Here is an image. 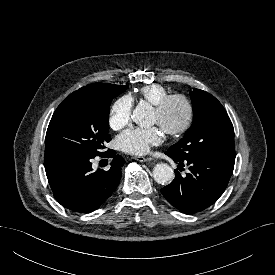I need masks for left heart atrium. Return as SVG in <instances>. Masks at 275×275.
I'll return each instance as SVG.
<instances>
[{"label":"left heart atrium","instance_id":"left-heart-atrium-1","mask_svg":"<svg viewBox=\"0 0 275 275\" xmlns=\"http://www.w3.org/2000/svg\"><path fill=\"white\" fill-rule=\"evenodd\" d=\"M162 140V133L158 127L132 128L118 137L120 148L135 155L146 154L151 146L158 145Z\"/></svg>","mask_w":275,"mask_h":275}]
</instances>
